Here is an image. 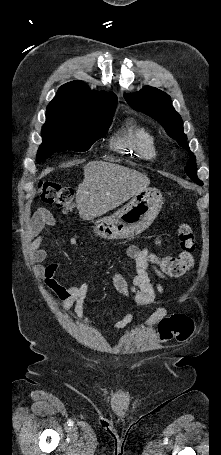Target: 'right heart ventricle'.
Returning <instances> with one entry per match:
<instances>
[{
  "label": "right heart ventricle",
  "mask_w": 221,
  "mask_h": 455,
  "mask_svg": "<svg viewBox=\"0 0 221 455\" xmlns=\"http://www.w3.org/2000/svg\"><path fill=\"white\" fill-rule=\"evenodd\" d=\"M111 147L121 153L130 152L140 158L152 159L156 155V138L148 127L129 122L111 140Z\"/></svg>",
  "instance_id": "obj_1"
}]
</instances>
